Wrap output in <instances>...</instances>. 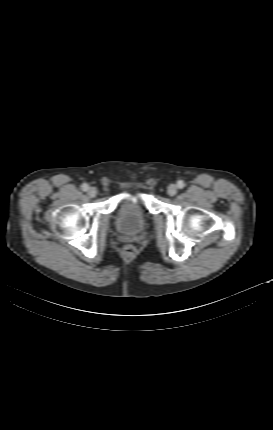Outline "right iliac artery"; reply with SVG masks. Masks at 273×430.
<instances>
[{
  "label": "right iliac artery",
  "mask_w": 273,
  "mask_h": 430,
  "mask_svg": "<svg viewBox=\"0 0 273 430\" xmlns=\"http://www.w3.org/2000/svg\"><path fill=\"white\" fill-rule=\"evenodd\" d=\"M81 188L83 191H87L89 189V186L87 183H84V184H82Z\"/></svg>",
  "instance_id": "82829eb1"
}]
</instances>
